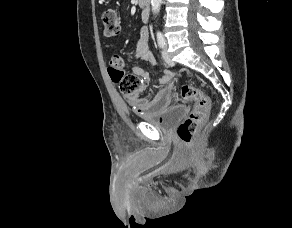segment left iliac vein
I'll return each mask as SVG.
<instances>
[{
    "label": "left iliac vein",
    "instance_id": "4c4485c4",
    "mask_svg": "<svg viewBox=\"0 0 292 228\" xmlns=\"http://www.w3.org/2000/svg\"><path fill=\"white\" fill-rule=\"evenodd\" d=\"M162 55H163V59L165 60V62L168 65H170V66H173L174 65V62L172 61L171 57L169 56V53H168V51H167L166 48L163 49Z\"/></svg>",
    "mask_w": 292,
    "mask_h": 228
}]
</instances>
